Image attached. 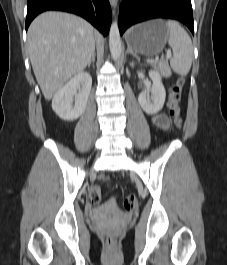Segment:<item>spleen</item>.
Segmentation results:
<instances>
[{
    "label": "spleen",
    "mask_w": 227,
    "mask_h": 265,
    "mask_svg": "<svg viewBox=\"0 0 227 265\" xmlns=\"http://www.w3.org/2000/svg\"><path fill=\"white\" fill-rule=\"evenodd\" d=\"M169 31L168 43L173 51L170 60L172 70L185 76L190 71L193 58V45L190 36L181 25L173 20L166 22Z\"/></svg>",
    "instance_id": "1"
}]
</instances>
